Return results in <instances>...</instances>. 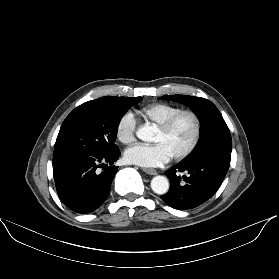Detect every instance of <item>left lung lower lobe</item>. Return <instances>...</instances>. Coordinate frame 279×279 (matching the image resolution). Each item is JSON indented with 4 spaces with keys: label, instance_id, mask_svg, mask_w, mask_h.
Segmentation results:
<instances>
[{
    "label": "left lung lower lobe",
    "instance_id": "obj_1",
    "mask_svg": "<svg viewBox=\"0 0 279 279\" xmlns=\"http://www.w3.org/2000/svg\"><path fill=\"white\" fill-rule=\"evenodd\" d=\"M228 168V164L213 157L183 160L166 171L171 184L161 198L174 209L195 208L216 193ZM180 172L185 175L180 176Z\"/></svg>",
    "mask_w": 279,
    "mask_h": 279
}]
</instances>
